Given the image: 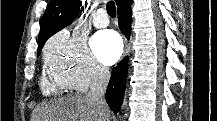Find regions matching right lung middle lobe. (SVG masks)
I'll list each match as a JSON object with an SVG mask.
<instances>
[{
  "mask_svg": "<svg viewBox=\"0 0 217 121\" xmlns=\"http://www.w3.org/2000/svg\"><path fill=\"white\" fill-rule=\"evenodd\" d=\"M40 53H41V51L37 52V55L39 56V55H40Z\"/></svg>",
  "mask_w": 217,
  "mask_h": 121,
  "instance_id": "right-lung-middle-lobe-1",
  "label": "right lung middle lobe"
}]
</instances>
